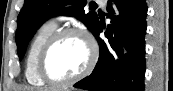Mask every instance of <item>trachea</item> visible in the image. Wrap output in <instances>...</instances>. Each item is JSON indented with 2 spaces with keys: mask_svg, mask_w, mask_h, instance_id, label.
Instances as JSON below:
<instances>
[{
  "mask_svg": "<svg viewBox=\"0 0 173 91\" xmlns=\"http://www.w3.org/2000/svg\"><path fill=\"white\" fill-rule=\"evenodd\" d=\"M91 7H97V5L94 3V4L91 5Z\"/></svg>",
  "mask_w": 173,
  "mask_h": 91,
  "instance_id": "trachea-1",
  "label": "trachea"
}]
</instances>
